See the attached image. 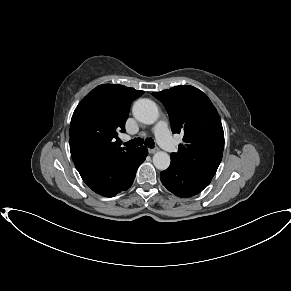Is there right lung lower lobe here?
<instances>
[{
  "label": "right lung lower lobe",
  "mask_w": 291,
  "mask_h": 291,
  "mask_svg": "<svg viewBox=\"0 0 291 291\" xmlns=\"http://www.w3.org/2000/svg\"><path fill=\"white\" fill-rule=\"evenodd\" d=\"M147 154V148L142 146L111 162L83 158L73 159V162L83 181L94 192L113 197L132 185L137 168Z\"/></svg>",
  "instance_id": "right-lung-lower-lobe-1"
}]
</instances>
